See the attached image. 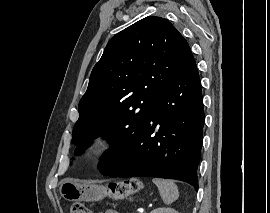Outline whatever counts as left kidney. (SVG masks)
<instances>
[{"instance_id":"1","label":"left kidney","mask_w":270,"mask_h":213,"mask_svg":"<svg viewBox=\"0 0 270 213\" xmlns=\"http://www.w3.org/2000/svg\"><path fill=\"white\" fill-rule=\"evenodd\" d=\"M150 213H178V212L172 208L163 207V208L154 209Z\"/></svg>"}]
</instances>
